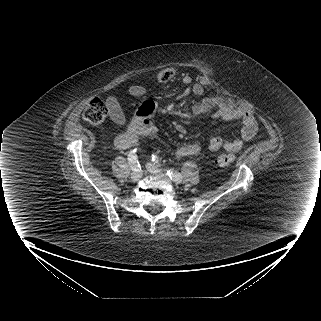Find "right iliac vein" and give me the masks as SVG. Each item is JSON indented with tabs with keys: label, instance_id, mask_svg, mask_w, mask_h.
<instances>
[{
	"label": "right iliac vein",
	"instance_id": "1",
	"mask_svg": "<svg viewBox=\"0 0 321 321\" xmlns=\"http://www.w3.org/2000/svg\"><path fill=\"white\" fill-rule=\"evenodd\" d=\"M141 177H142V171L140 169L134 170V172H132L131 174V179L135 182L139 181Z\"/></svg>",
	"mask_w": 321,
	"mask_h": 321
}]
</instances>
